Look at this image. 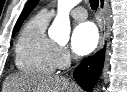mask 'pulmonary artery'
Returning <instances> with one entry per match:
<instances>
[{"label":"pulmonary artery","instance_id":"1","mask_svg":"<svg viewBox=\"0 0 127 92\" xmlns=\"http://www.w3.org/2000/svg\"><path fill=\"white\" fill-rule=\"evenodd\" d=\"M45 11L48 12L50 15L55 14V10H53V9L51 11H47V10H45ZM71 15L76 20H85L87 18V11L83 7H77L71 11Z\"/></svg>","mask_w":127,"mask_h":92}]
</instances>
